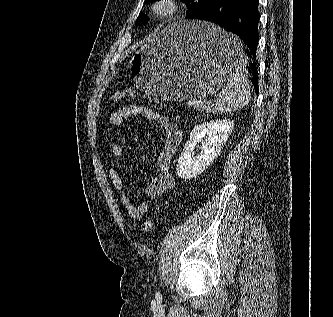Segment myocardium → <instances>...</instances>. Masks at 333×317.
<instances>
[{
    "label": "myocardium",
    "mask_w": 333,
    "mask_h": 317,
    "mask_svg": "<svg viewBox=\"0 0 333 317\" xmlns=\"http://www.w3.org/2000/svg\"><path fill=\"white\" fill-rule=\"evenodd\" d=\"M180 9L177 0H155L151 5V14L159 19L174 17Z\"/></svg>",
    "instance_id": "obj_1"
}]
</instances>
